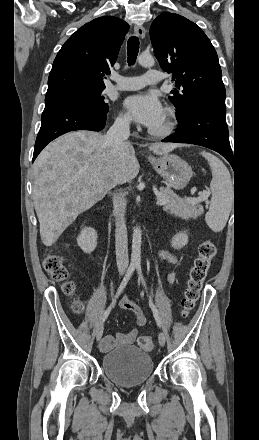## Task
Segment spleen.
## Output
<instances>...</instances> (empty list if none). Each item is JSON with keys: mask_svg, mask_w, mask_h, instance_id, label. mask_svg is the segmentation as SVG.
I'll return each instance as SVG.
<instances>
[{"mask_svg": "<svg viewBox=\"0 0 259 440\" xmlns=\"http://www.w3.org/2000/svg\"><path fill=\"white\" fill-rule=\"evenodd\" d=\"M201 154L207 159L213 176L210 183L212 197L205 220L212 231L220 232L225 227L232 209L233 183L227 167L220 159L208 152Z\"/></svg>", "mask_w": 259, "mask_h": 440, "instance_id": "obj_1", "label": "spleen"}]
</instances>
